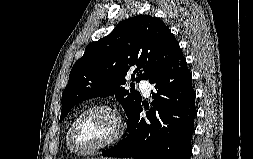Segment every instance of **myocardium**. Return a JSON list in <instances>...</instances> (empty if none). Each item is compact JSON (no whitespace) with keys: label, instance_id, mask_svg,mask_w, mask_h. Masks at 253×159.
<instances>
[{"label":"myocardium","instance_id":"obj_1","mask_svg":"<svg viewBox=\"0 0 253 159\" xmlns=\"http://www.w3.org/2000/svg\"><path fill=\"white\" fill-rule=\"evenodd\" d=\"M94 110H105V111L110 112L113 115L115 122H116V132H115L114 136L111 139H109L107 142H105L99 146H96L94 148L88 149V150H81L76 146V144L74 142L76 127H77L79 121L87 113L94 111ZM125 129H126V125H125L124 118H123L121 112L115 106L108 104V103L94 104V105H91V106L85 108L84 110H82L75 117L73 122L71 123L70 128H69L68 144H69L70 149L79 155H84V156L92 155L96 152L107 149V148L115 145L116 143H118L122 139V137L125 133Z\"/></svg>","mask_w":253,"mask_h":159}]
</instances>
